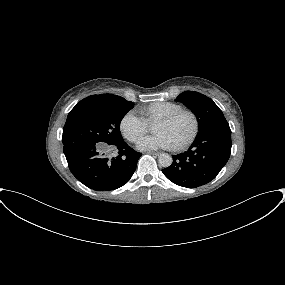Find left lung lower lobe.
<instances>
[{
    "label": "left lung lower lobe",
    "instance_id": "obj_1",
    "mask_svg": "<svg viewBox=\"0 0 285 285\" xmlns=\"http://www.w3.org/2000/svg\"><path fill=\"white\" fill-rule=\"evenodd\" d=\"M231 153L230 128H211L198 133L185 153L173 156V163L162 169L173 183L196 188L213 180Z\"/></svg>",
    "mask_w": 285,
    "mask_h": 285
}]
</instances>
